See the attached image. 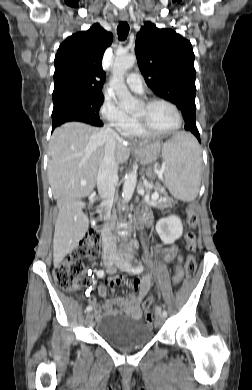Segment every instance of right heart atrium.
Instances as JSON below:
<instances>
[{
  "label": "right heart atrium",
  "mask_w": 252,
  "mask_h": 390,
  "mask_svg": "<svg viewBox=\"0 0 252 390\" xmlns=\"http://www.w3.org/2000/svg\"><path fill=\"white\" fill-rule=\"evenodd\" d=\"M101 115L108 123V126L114 129L123 137H129L134 128V120L123 112L119 106L112 100H106L101 107Z\"/></svg>",
  "instance_id": "obj_1"
}]
</instances>
